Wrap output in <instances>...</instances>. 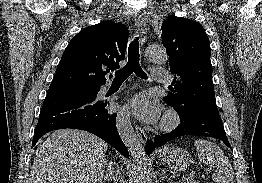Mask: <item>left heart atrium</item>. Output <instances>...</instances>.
Returning a JSON list of instances; mask_svg holds the SVG:
<instances>
[{"instance_id":"obj_1","label":"left heart atrium","mask_w":262,"mask_h":183,"mask_svg":"<svg viewBox=\"0 0 262 183\" xmlns=\"http://www.w3.org/2000/svg\"><path fill=\"white\" fill-rule=\"evenodd\" d=\"M133 114L145 123H155L160 118V106L151 102L145 95L135 96L130 102Z\"/></svg>"}]
</instances>
